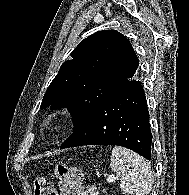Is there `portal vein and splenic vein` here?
Returning <instances> with one entry per match:
<instances>
[{"label":"portal vein and splenic vein","mask_w":189,"mask_h":195,"mask_svg":"<svg viewBox=\"0 0 189 195\" xmlns=\"http://www.w3.org/2000/svg\"><path fill=\"white\" fill-rule=\"evenodd\" d=\"M106 180H107L108 182H113V181L116 180V177H114V176H109V177L106 178Z\"/></svg>","instance_id":"obj_1"}]
</instances>
